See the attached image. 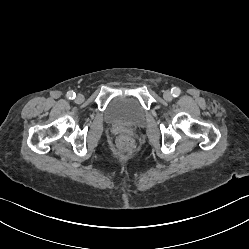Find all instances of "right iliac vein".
I'll return each mask as SVG.
<instances>
[{"instance_id": "right-iliac-vein-1", "label": "right iliac vein", "mask_w": 249, "mask_h": 249, "mask_svg": "<svg viewBox=\"0 0 249 249\" xmlns=\"http://www.w3.org/2000/svg\"><path fill=\"white\" fill-rule=\"evenodd\" d=\"M75 101H76L77 103L83 102V101H84V96H83L82 94H78V95L76 96V98H75Z\"/></svg>"}]
</instances>
